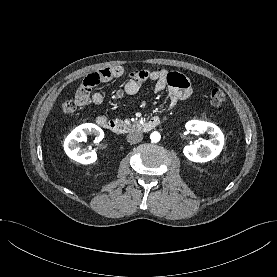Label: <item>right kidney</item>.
Wrapping results in <instances>:
<instances>
[{
    "mask_svg": "<svg viewBox=\"0 0 277 277\" xmlns=\"http://www.w3.org/2000/svg\"><path fill=\"white\" fill-rule=\"evenodd\" d=\"M88 134L95 136V143H99L104 138V132L100 127L92 123H85L76 127L64 141V150L68 157L81 164H91L97 160L94 150L86 151L78 147V143L84 141Z\"/></svg>",
    "mask_w": 277,
    "mask_h": 277,
    "instance_id": "1",
    "label": "right kidney"
}]
</instances>
